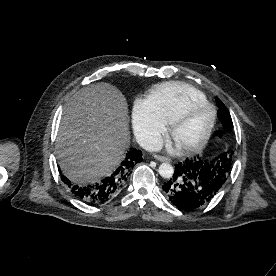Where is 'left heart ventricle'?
<instances>
[{"mask_svg":"<svg viewBox=\"0 0 276 276\" xmlns=\"http://www.w3.org/2000/svg\"><path fill=\"white\" fill-rule=\"evenodd\" d=\"M211 119L210 109L200 103L193 106L188 115L177 125L174 138L182 146L197 141L207 129Z\"/></svg>","mask_w":276,"mask_h":276,"instance_id":"left-heart-ventricle-1","label":"left heart ventricle"}]
</instances>
